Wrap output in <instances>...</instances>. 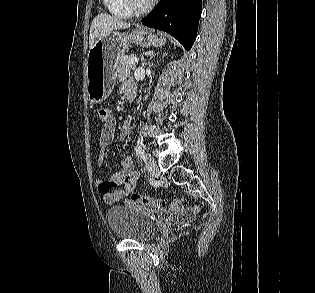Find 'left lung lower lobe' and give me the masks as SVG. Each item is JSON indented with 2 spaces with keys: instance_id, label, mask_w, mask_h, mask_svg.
I'll return each instance as SVG.
<instances>
[{
  "instance_id": "1",
  "label": "left lung lower lobe",
  "mask_w": 315,
  "mask_h": 293,
  "mask_svg": "<svg viewBox=\"0 0 315 293\" xmlns=\"http://www.w3.org/2000/svg\"><path fill=\"white\" fill-rule=\"evenodd\" d=\"M201 10V0H160L142 24L171 34L189 50L196 39Z\"/></svg>"
}]
</instances>
